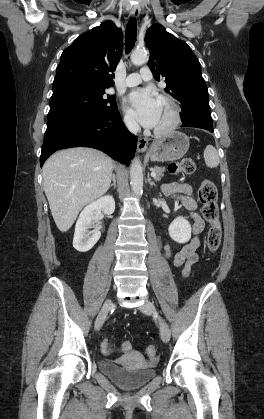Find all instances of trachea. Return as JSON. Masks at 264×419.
<instances>
[{
	"instance_id": "obj_1",
	"label": "trachea",
	"mask_w": 264,
	"mask_h": 419,
	"mask_svg": "<svg viewBox=\"0 0 264 419\" xmlns=\"http://www.w3.org/2000/svg\"><path fill=\"white\" fill-rule=\"evenodd\" d=\"M137 36V22L135 18H131L126 27V34H125V51L126 54L130 53L132 48L135 45Z\"/></svg>"
}]
</instances>
